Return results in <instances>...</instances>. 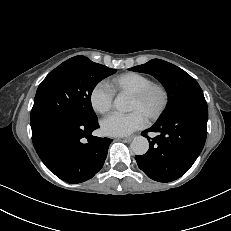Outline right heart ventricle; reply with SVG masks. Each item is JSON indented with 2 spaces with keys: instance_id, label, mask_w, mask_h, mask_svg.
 <instances>
[{
  "instance_id": "e07e8e85",
  "label": "right heart ventricle",
  "mask_w": 231,
  "mask_h": 231,
  "mask_svg": "<svg viewBox=\"0 0 231 231\" xmlns=\"http://www.w3.org/2000/svg\"><path fill=\"white\" fill-rule=\"evenodd\" d=\"M151 78L139 72H126L112 78L108 86L113 92L132 94L147 84Z\"/></svg>"
}]
</instances>
